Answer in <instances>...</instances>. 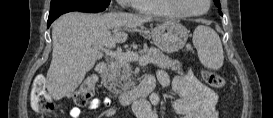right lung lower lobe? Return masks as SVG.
I'll return each mask as SVG.
<instances>
[{"mask_svg":"<svg viewBox=\"0 0 273 118\" xmlns=\"http://www.w3.org/2000/svg\"><path fill=\"white\" fill-rule=\"evenodd\" d=\"M105 9L97 8V7H90L80 4H75L72 2H68L65 0H59V2L51 3L50 5V13L48 18V27L51 25V23L60 15L64 13H68L71 11H80V12H102Z\"/></svg>","mask_w":273,"mask_h":118,"instance_id":"98d812e1","label":"right lung lower lobe"}]
</instances>
